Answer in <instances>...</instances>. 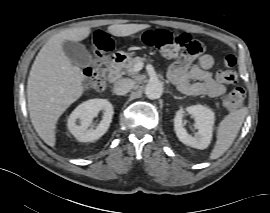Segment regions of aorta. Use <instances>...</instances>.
<instances>
[{
	"mask_svg": "<svg viewBox=\"0 0 270 213\" xmlns=\"http://www.w3.org/2000/svg\"><path fill=\"white\" fill-rule=\"evenodd\" d=\"M163 93V84L157 79L150 80L145 87V95L149 99H157Z\"/></svg>",
	"mask_w": 270,
	"mask_h": 213,
	"instance_id": "aorta-1",
	"label": "aorta"
}]
</instances>
